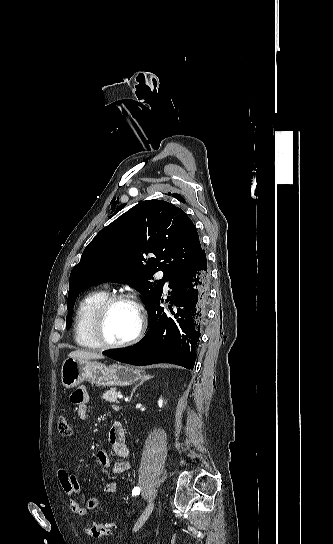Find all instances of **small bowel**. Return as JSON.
<instances>
[{
	"mask_svg": "<svg viewBox=\"0 0 333 544\" xmlns=\"http://www.w3.org/2000/svg\"><path fill=\"white\" fill-rule=\"evenodd\" d=\"M70 400L76 406L78 417L85 420L88 416V403L90 401L86 388L79 387L76 389L71 394ZM108 442V449L100 450L97 454L98 465L102 468H111L115 474L127 473L130 469V452L125 443L123 428L119 422H114L111 425L108 432ZM111 454L119 458L114 463L111 462ZM58 478L64 492L68 495L69 507L74 514L85 516L89 510L96 509L99 506V499L96 497L86 499L85 504L80 502L81 489L74 474L69 473L66 469H60ZM104 491L107 494H115L117 484L115 482L107 483Z\"/></svg>",
	"mask_w": 333,
	"mask_h": 544,
	"instance_id": "obj_1",
	"label": "small bowel"
}]
</instances>
